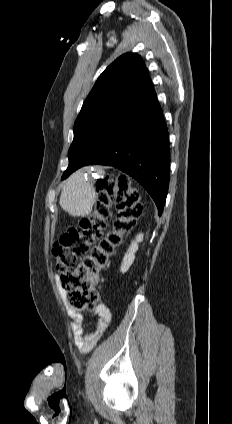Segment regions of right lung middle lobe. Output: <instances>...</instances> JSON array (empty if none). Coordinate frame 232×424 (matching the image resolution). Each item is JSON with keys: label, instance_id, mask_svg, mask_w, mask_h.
Masks as SVG:
<instances>
[{"label": "right lung middle lobe", "instance_id": "dd1d6c3e", "mask_svg": "<svg viewBox=\"0 0 232 424\" xmlns=\"http://www.w3.org/2000/svg\"><path fill=\"white\" fill-rule=\"evenodd\" d=\"M132 106L108 104L80 112L74 124V139L69 149V166L62 179L80 168L91 152L116 128L130 119Z\"/></svg>", "mask_w": 232, "mask_h": 424}]
</instances>
